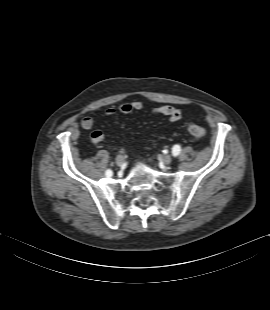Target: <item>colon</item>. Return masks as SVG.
Instances as JSON below:
<instances>
[{"label": "colon", "instance_id": "colon-1", "mask_svg": "<svg viewBox=\"0 0 270 310\" xmlns=\"http://www.w3.org/2000/svg\"><path fill=\"white\" fill-rule=\"evenodd\" d=\"M187 130L190 133L192 137L195 139H201L205 136L206 130L203 126L197 124V123H189L187 125Z\"/></svg>", "mask_w": 270, "mask_h": 310}]
</instances>
